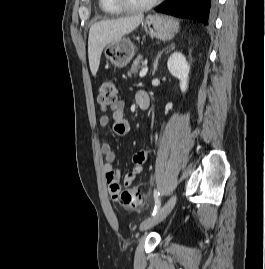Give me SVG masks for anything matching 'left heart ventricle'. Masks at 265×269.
Returning a JSON list of instances; mask_svg holds the SVG:
<instances>
[{
    "label": "left heart ventricle",
    "mask_w": 265,
    "mask_h": 269,
    "mask_svg": "<svg viewBox=\"0 0 265 269\" xmlns=\"http://www.w3.org/2000/svg\"><path fill=\"white\" fill-rule=\"evenodd\" d=\"M130 1L131 3H134V4H142V3H146L150 0H128Z\"/></svg>",
    "instance_id": "left-heart-ventricle-1"
}]
</instances>
